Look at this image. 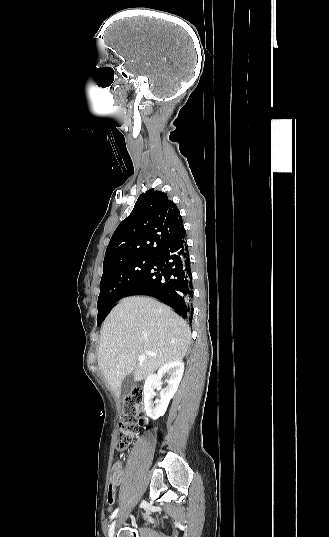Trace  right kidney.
I'll use <instances>...</instances> for the list:
<instances>
[{"label": "right kidney", "instance_id": "ca27d5eb", "mask_svg": "<svg viewBox=\"0 0 329 537\" xmlns=\"http://www.w3.org/2000/svg\"><path fill=\"white\" fill-rule=\"evenodd\" d=\"M184 372L182 361H173L162 366L156 374L147 377L144 384V406L147 416L156 420L163 416L170 400L175 395ZM164 374H168L167 386L160 391V399L153 401L154 387L161 383Z\"/></svg>", "mask_w": 329, "mask_h": 537}]
</instances>
